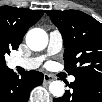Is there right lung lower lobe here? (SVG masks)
I'll use <instances>...</instances> for the list:
<instances>
[{"label":"right lung lower lobe","mask_w":102,"mask_h":102,"mask_svg":"<svg viewBox=\"0 0 102 102\" xmlns=\"http://www.w3.org/2000/svg\"><path fill=\"white\" fill-rule=\"evenodd\" d=\"M44 75L38 71H25L17 75L7 66L0 70V95L5 102H27L30 91L43 82Z\"/></svg>","instance_id":"1"}]
</instances>
